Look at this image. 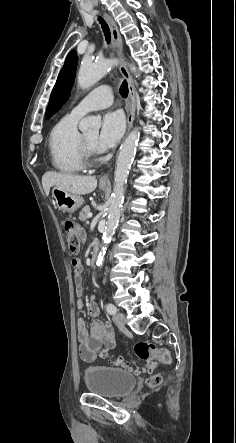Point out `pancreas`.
<instances>
[{
    "label": "pancreas",
    "mask_w": 236,
    "mask_h": 443,
    "mask_svg": "<svg viewBox=\"0 0 236 443\" xmlns=\"http://www.w3.org/2000/svg\"><path fill=\"white\" fill-rule=\"evenodd\" d=\"M91 209L89 206H85L82 211L79 214V219L81 221H86L88 218V214L90 213Z\"/></svg>",
    "instance_id": "obj_1"
}]
</instances>
